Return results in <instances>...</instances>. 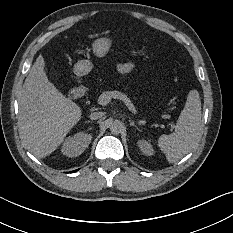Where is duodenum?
<instances>
[{"instance_id":"obj_1","label":"duodenum","mask_w":233,"mask_h":233,"mask_svg":"<svg viewBox=\"0 0 233 233\" xmlns=\"http://www.w3.org/2000/svg\"><path fill=\"white\" fill-rule=\"evenodd\" d=\"M85 93H86V87L83 84H80L74 87L73 89H71V91L69 92V98L75 100L83 97Z\"/></svg>"}]
</instances>
